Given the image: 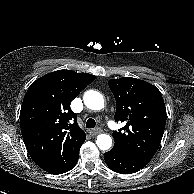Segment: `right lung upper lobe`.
Returning <instances> with one entry per match:
<instances>
[{"label":"right lung upper lobe","instance_id":"cb5924a9","mask_svg":"<svg viewBox=\"0 0 194 194\" xmlns=\"http://www.w3.org/2000/svg\"><path fill=\"white\" fill-rule=\"evenodd\" d=\"M88 73L59 70L34 81L20 111L21 133L33 161L57 174L79 155L86 139L71 101L93 80Z\"/></svg>","mask_w":194,"mask_h":194}]
</instances>
